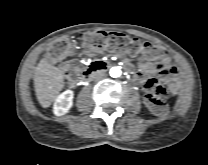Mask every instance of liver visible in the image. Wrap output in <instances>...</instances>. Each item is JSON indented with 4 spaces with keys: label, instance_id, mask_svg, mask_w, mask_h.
Masks as SVG:
<instances>
[{
    "label": "liver",
    "instance_id": "liver-1",
    "mask_svg": "<svg viewBox=\"0 0 208 165\" xmlns=\"http://www.w3.org/2000/svg\"><path fill=\"white\" fill-rule=\"evenodd\" d=\"M64 87L62 71L42 59L34 73V88L38 102L43 108H48Z\"/></svg>",
    "mask_w": 208,
    "mask_h": 165
}]
</instances>
